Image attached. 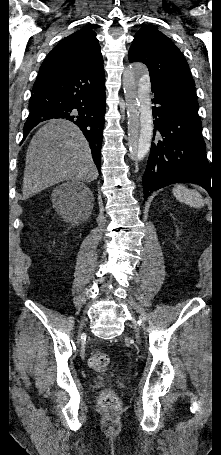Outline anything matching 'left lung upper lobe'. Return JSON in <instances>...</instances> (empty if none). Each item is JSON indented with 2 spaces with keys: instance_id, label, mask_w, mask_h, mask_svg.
<instances>
[{
  "instance_id": "left-lung-upper-lobe-1",
  "label": "left lung upper lobe",
  "mask_w": 221,
  "mask_h": 455,
  "mask_svg": "<svg viewBox=\"0 0 221 455\" xmlns=\"http://www.w3.org/2000/svg\"><path fill=\"white\" fill-rule=\"evenodd\" d=\"M128 58L130 62L140 61L148 67L152 86L169 92L191 106L199 107L188 63L162 32L152 26L140 28L134 36Z\"/></svg>"
}]
</instances>
